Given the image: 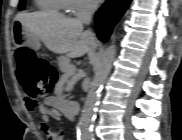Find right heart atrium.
Masks as SVG:
<instances>
[{
  "instance_id": "right-heart-atrium-1",
  "label": "right heart atrium",
  "mask_w": 182,
  "mask_h": 140,
  "mask_svg": "<svg viewBox=\"0 0 182 140\" xmlns=\"http://www.w3.org/2000/svg\"><path fill=\"white\" fill-rule=\"evenodd\" d=\"M94 8V3L89 0H67L65 10L74 15L90 12Z\"/></svg>"
}]
</instances>
